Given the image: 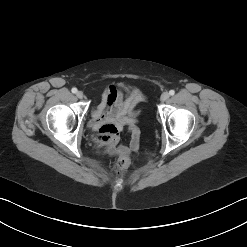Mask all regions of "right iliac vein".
Returning a JSON list of instances; mask_svg holds the SVG:
<instances>
[{
    "instance_id": "right-iliac-vein-1",
    "label": "right iliac vein",
    "mask_w": 247,
    "mask_h": 247,
    "mask_svg": "<svg viewBox=\"0 0 247 247\" xmlns=\"http://www.w3.org/2000/svg\"><path fill=\"white\" fill-rule=\"evenodd\" d=\"M76 96H77L79 99H82V98L84 97V94H83L82 91H78V92L76 93Z\"/></svg>"
}]
</instances>
